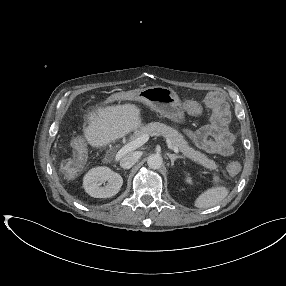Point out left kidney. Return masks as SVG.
<instances>
[{"mask_svg": "<svg viewBox=\"0 0 286 286\" xmlns=\"http://www.w3.org/2000/svg\"><path fill=\"white\" fill-rule=\"evenodd\" d=\"M186 182L189 183V184H192V179L188 176V177L186 178Z\"/></svg>", "mask_w": 286, "mask_h": 286, "instance_id": "5707ae66", "label": "left kidney"}]
</instances>
